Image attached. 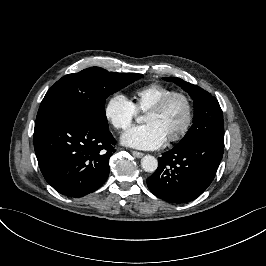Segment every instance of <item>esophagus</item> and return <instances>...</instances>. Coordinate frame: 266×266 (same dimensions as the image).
I'll list each match as a JSON object with an SVG mask.
<instances>
[{
  "label": "esophagus",
  "instance_id": "1",
  "mask_svg": "<svg viewBox=\"0 0 266 266\" xmlns=\"http://www.w3.org/2000/svg\"><path fill=\"white\" fill-rule=\"evenodd\" d=\"M131 153L137 158H141L144 155V153L138 152V151H134V150H132Z\"/></svg>",
  "mask_w": 266,
  "mask_h": 266
}]
</instances>
